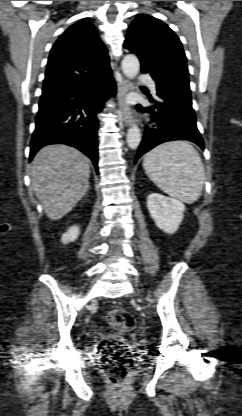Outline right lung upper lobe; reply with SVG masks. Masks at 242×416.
<instances>
[{
	"label": "right lung upper lobe",
	"instance_id": "1",
	"mask_svg": "<svg viewBox=\"0 0 242 416\" xmlns=\"http://www.w3.org/2000/svg\"><path fill=\"white\" fill-rule=\"evenodd\" d=\"M109 70L108 52L96 28L82 20L70 26L52 47L42 90L81 82Z\"/></svg>",
	"mask_w": 242,
	"mask_h": 416
}]
</instances>
